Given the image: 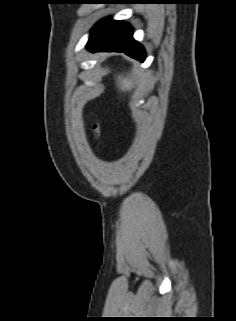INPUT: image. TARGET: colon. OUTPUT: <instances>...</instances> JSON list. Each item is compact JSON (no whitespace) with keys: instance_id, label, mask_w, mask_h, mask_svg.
<instances>
[{"instance_id":"1","label":"colon","mask_w":236,"mask_h":321,"mask_svg":"<svg viewBox=\"0 0 236 321\" xmlns=\"http://www.w3.org/2000/svg\"><path fill=\"white\" fill-rule=\"evenodd\" d=\"M93 129H94V138L95 140H99L100 139V136H101V126L99 123H95L94 126H93Z\"/></svg>"}]
</instances>
